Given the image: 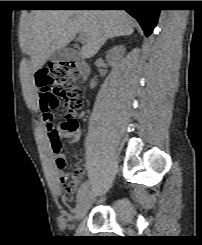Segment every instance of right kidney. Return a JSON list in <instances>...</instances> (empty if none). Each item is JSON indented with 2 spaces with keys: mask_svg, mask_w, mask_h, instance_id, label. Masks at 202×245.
<instances>
[{
  "mask_svg": "<svg viewBox=\"0 0 202 245\" xmlns=\"http://www.w3.org/2000/svg\"><path fill=\"white\" fill-rule=\"evenodd\" d=\"M125 52V48L123 45L115 46L111 50L108 51L106 58L107 61L112 65L115 66L120 59L122 58V55ZM97 85L96 80L92 79L90 83V87L94 88Z\"/></svg>",
  "mask_w": 202,
  "mask_h": 245,
  "instance_id": "1",
  "label": "right kidney"
}]
</instances>
